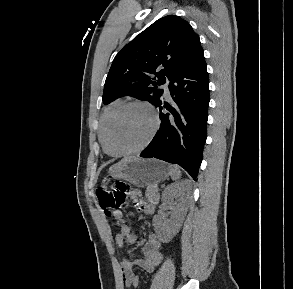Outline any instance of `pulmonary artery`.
<instances>
[{"label":"pulmonary artery","instance_id":"pulmonary-artery-1","mask_svg":"<svg viewBox=\"0 0 293 289\" xmlns=\"http://www.w3.org/2000/svg\"><path fill=\"white\" fill-rule=\"evenodd\" d=\"M164 93L166 96H169V88H168V83L163 85Z\"/></svg>","mask_w":293,"mask_h":289}]
</instances>
